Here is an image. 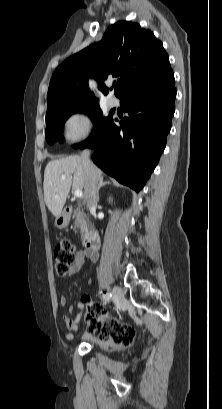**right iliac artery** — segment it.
Returning <instances> with one entry per match:
<instances>
[{
    "label": "right iliac artery",
    "instance_id": "right-iliac-artery-1",
    "mask_svg": "<svg viewBox=\"0 0 222 409\" xmlns=\"http://www.w3.org/2000/svg\"><path fill=\"white\" fill-rule=\"evenodd\" d=\"M111 297H112V294L109 293V292L103 294V299H104L105 301H109V300L111 299Z\"/></svg>",
    "mask_w": 222,
    "mask_h": 409
}]
</instances>
